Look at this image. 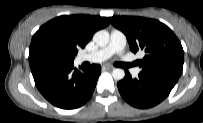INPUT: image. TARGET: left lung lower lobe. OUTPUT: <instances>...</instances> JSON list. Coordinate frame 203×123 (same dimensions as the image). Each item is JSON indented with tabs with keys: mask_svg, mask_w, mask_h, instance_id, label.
Instances as JSON below:
<instances>
[{
	"mask_svg": "<svg viewBox=\"0 0 203 123\" xmlns=\"http://www.w3.org/2000/svg\"><path fill=\"white\" fill-rule=\"evenodd\" d=\"M179 77L164 72L141 71L133 79L128 71L118 82V89L125 101L137 108H150L163 101L177 83Z\"/></svg>",
	"mask_w": 203,
	"mask_h": 123,
	"instance_id": "left-lung-lower-lobe-1",
	"label": "left lung lower lobe"
}]
</instances>
